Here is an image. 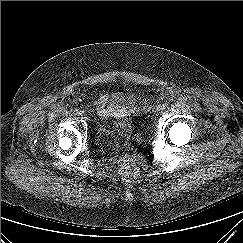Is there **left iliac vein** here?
<instances>
[{"instance_id": "left-iliac-vein-1", "label": "left iliac vein", "mask_w": 243, "mask_h": 243, "mask_svg": "<svg viewBox=\"0 0 243 243\" xmlns=\"http://www.w3.org/2000/svg\"><path fill=\"white\" fill-rule=\"evenodd\" d=\"M156 111L158 113H161L163 111V106H158L157 109H156Z\"/></svg>"}]
</instances>
